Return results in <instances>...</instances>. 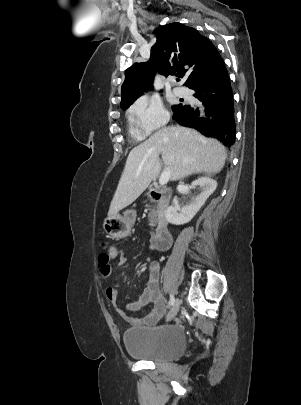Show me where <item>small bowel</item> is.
Instances as JSON below:
<instances>
[{
	"label": "small bowel",
	"instance_id": "1",
	"mask_svg": "<svg viewBox=\"0 0 301 405\" xmlns=\"http://www.w3.org/2000/svg\"><path fill=\"white\" fill-rule=\"evenodd\" d=\"M164 251V250H160ZM117 259L119 265L126 263L124 253L111 247L106 257H99L100 276L106 279L110 276L112 267L111 261ZM159 263L152 261L148 265V279L146 287L136 302L127 303L120 306L117 302L116 291L108 287L105 290L107 299L113 304L117 312L132 325H154L166 312V301L159 290Z\"/></svg>",
	"mask_w": 301,
	"mask_h": 405
}]
</instances>
